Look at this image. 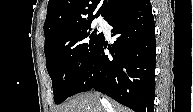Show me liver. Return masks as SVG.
Wrapping results in <instances>:
<instances>
[{"label":"liver","instance_id":"1","mask_svg":"<svg viewBox=\"0 0 193 112\" xmlns=\"http://www.w3.org/2000/svg\"><path fill=\"white\" fill-rule=\"evenodd\" d=\"M58 112H131L118 103L103 101L100 94L88 92L76 95L58 108Z\"/></svg>","mask_w":193,"mask_h":112}]
</instances>
